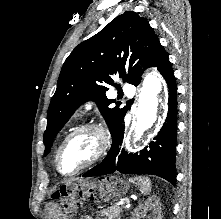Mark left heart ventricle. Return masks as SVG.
<instances>
[{
  "instance_id": "b2bd125f",
  "label": "left heart ventricle",
  "mask_w": 221,
  "mask_h": 219,
  "mask_svg": "<svg viewBox=\"0 0 221 219\" xmlns=\"http://www.w3.org/2000/svg\"><path fill=\"white\" fill-rule=\"evenodd\" d=\"M97 146L98 139L93 132H85L75 136L60 154V170L63 173H72L78 170L94 156Z\"/></svg>"
}]
</instances>
